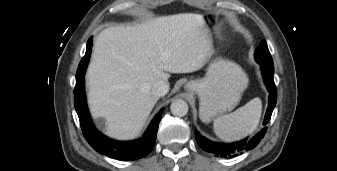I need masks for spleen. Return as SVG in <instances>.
I'll return each mask as SVG.
<instances>
[{
	"instance_id": "spleen-1",
	"label": "spleen",
	"mask_w": 337,
	"mask_h": 171,
	"mask_svg": "<svg viewBox=\"0 0 337 171\" xmlns=\"http://www.w3.org/2000/svg\"><path fill=\"white\" fill-rule=\"evenodd\" d=\"M262 112L260 98H254L234 112L214 120L215 134L223 141H238L251 134L258 126Z\"/></svg>"
}]
</instances>
